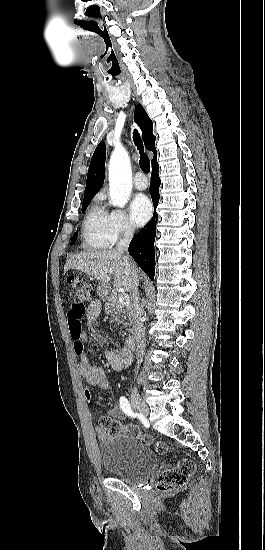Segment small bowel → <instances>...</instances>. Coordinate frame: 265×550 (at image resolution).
I'll list each match as a JSON object with an SVG mask.
<instances>
[{
    "label": "small bowel",
    "mask_w": 265,
    "mask_h": 550,
    "mask_svg": "<svg viewBox=\"0 0 265 550\" xmlns=\"http://www.w3.org/2000/svg\"><path fill=\"white\" fill-rule=\"evenodd\" d=\"M100 312L101 302L99 300H93L87 307V321L89 323H93L94 321H96ZM74 322L76 325H80V330L73 329L75 335L72 334L70 328L71 335L73 339H75L74 353L80 358L79 371L87 382L88 389H86V396L87 398H90L89 388L98 387L100 389H108L110 383L103 366L99 364H94L90 355L86 352L89 344V337L88 334L82 329L81 320L74 319ZM91 336L99 344L106 343V339L95 330H92ZM105 357L111 367L114 370L118 371L125 369L130 364L132 359L131 354L125 350L118 352L109 349L105 352ZM108 415L113 418L123 419L124 411L122 410L120 405H113L109 409ZM97 434L101 438L105 437V434L100 430H97Z\"/></svg>",
    "instance_id": "c3829d8e"
}]
</instances>
